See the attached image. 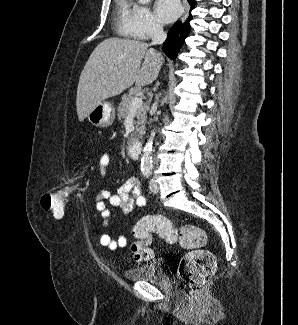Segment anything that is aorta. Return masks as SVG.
Here are the masks:
<instances>
[{"label": "aorta", "mask_w": 298, "mask_h": 325, "mask_svg": "<svg viewBox=\"0 0 298 325\" xmlns=\"http://www.w3.org/2000/svg\"><path fill=\"white\" fill-rule=\"evenodd\" d=\"M141 4H149L151 0H138ZM155 136V128L151 130V134L143 148V154L141 158V171L142 173H151L153 169V158H152V150H153V140Z\"/></svg>", "instance_id": "aorta-1"}]
</instances>
